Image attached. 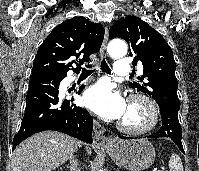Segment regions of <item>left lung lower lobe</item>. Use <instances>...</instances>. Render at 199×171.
Returning <instances> with one entry per match:
<instances>
[{
    "label": "left lung lower lobe",
    "instance_id": "left-lung-lower-lobe-1",
    "mask_svg": "<svg viewBox=\"0 0 199 171\" xmlns=\"http://www.w3.org/2000/svg\"><path fill=\"white\" fill-rule=\"evenodd\" d=\"M178 110L174 107H160V114L162 119V127L149 137L159 138L167 137L172 139L179 149L184 153L181 138L182 129L178 120ZM120 138H126L119 136Z\"/></svg>",
    "mask_w": 199,
    "mask_h": 171
}]
</instances>
